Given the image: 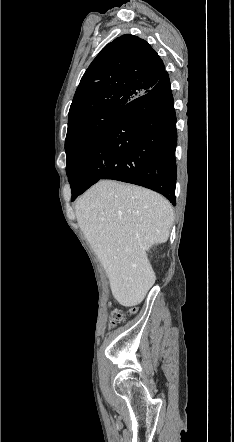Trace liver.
Returning a JSON list of instances; mask_svg holds the SVG:
<instances>
[{
    "instance_id": "1",
    "label": "liver",
    "mask_w": 234,
    "mask_h": 442,
    "mask_svg": "<svg viewBox=\"0 0 234 442\" xmlns=\"http://www.w3.org/2000/svg\"><path fill=\"white\" fill-rule=\"evenodd\" d=\"M75 211L113 297L126 307L141 303L156 278L147 251L169 238L171 204L151 190L102 180L77 200Z\"/></svg>"
}]
</instances>
